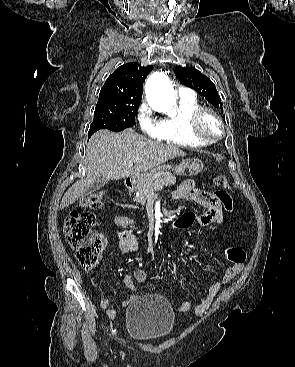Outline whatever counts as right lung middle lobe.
<instances>
[{
  "mask_svg": "<svg viewBox=\"0 0 295 367\" xmlns=\"http://www.w3.org/2000/svg\"><path fill=\"white\" fill-rule=\"evenodd\" d=\"M141 101L99 98L88 137L99 129L122 131L135 125V114Z\"/></svg>",
  "mask_w": 295,
  "mask_h": 367,
  "instance_id": "obj_1",
  "label": "right lung middle lobe"
}]
</instances>
